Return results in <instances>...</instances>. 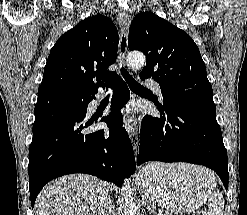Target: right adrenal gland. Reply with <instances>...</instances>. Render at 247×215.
Instances as JSON below:
<instances>
[{
    "label": "right adrenal gland",
    "mask_w": 247,
    "mask_h": 215,
    "mask_svg": "<svg viewBox=\"0 0 247 215\" xmlns=\"http://www.w3.org/2000/svg\"><path fill=\"white\" fill-rule=\"evenodd\" d=\"M112 202H111V199L108 200V203H107V208H106V212L104 213V215H111L112 213Z\"/></svg>",
    "instance_id": "obj_1"
}]
</instances>
